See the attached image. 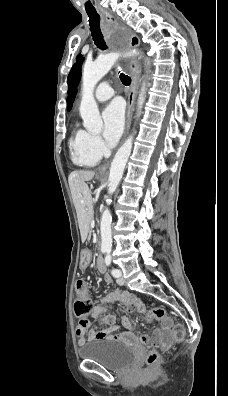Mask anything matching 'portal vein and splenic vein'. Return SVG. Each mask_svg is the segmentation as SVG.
I'll return each instance as SVG.
<instances>
[{"label":"portal vein and splenic vein","mask_w":228,"mask_h":396,"mask_svg":"<svg viewBox=\"0 0 228 396\" xmlns=\"http://www.w3.org/2000/svg\"><path fill=\"white\" fill-rule=\"evenodd\" d=\"M91 226H92V227H94V226H95V222H94V221H92V223H91Z\"/></svg>","instance_id":"portal-vein-and-splenic-vein-1"}]
</instances>
